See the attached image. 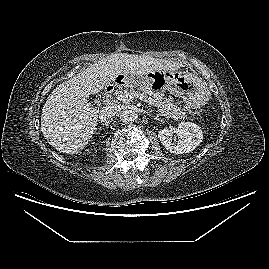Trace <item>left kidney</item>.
I'll return each mask as SVG.
<instances>
[{"mask_svg": "<svg viewBox=\"0 0 269 269\" xmlns=\"http://www.w3.org/2000/svg\"><path fill=\"white\" fill-rule=\"evenodd\" d=\"M177 143H172V130L164 128L158 132V137L165 148L174 154H184L194 150L203 140L201 128L190 122H181L175 131Z\"/></svg>", "mask_w": 269, "mask_h": 269, "instance_id": "obj_1", "label": "left kidney"}]
</instances>
